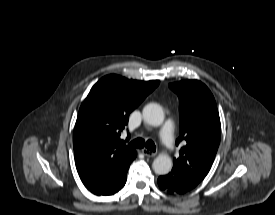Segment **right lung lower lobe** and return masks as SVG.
Here are the masks:
<instances>
[{
    "instance_id": "obj_1",
    "label": "right lung lower lobe",
    "mask_w": 275,
    "mask_h": 215,
    "mask_svg": "<svg viewBox=\"0 0 275 215\" xmlns=\"http://www.w3.org/2000/svg\"><path fill=\"white\" fill-rule=\"evenodd\" d=\"M135 157L136 154L122 164L101 168L82 179V182L96 195H112L125 185L128 168Z\"/></svg>"
}]
</instances>
